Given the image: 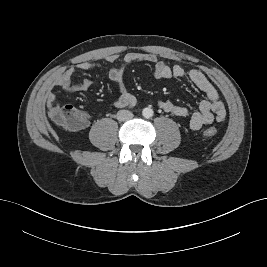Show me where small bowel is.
Masks as SVG:
<instances>
[{
  "mask_svg": "<svg viewBox=\"0 0 267 267\" xmlns=\"http://www.w3.org/2000/svg\"><path fill=\"white\" fill-rule=\"evenodd\" d=\"M101 60L111 64L108 74L110 79L113 80L118 87V96L114 101V107L116 108L133 107L137 102L135 96L128 92L125 85L124 76L127 66L136 62H148L154 66V76L156 79L187 78L207 97V99L200 102L197 111H191L186 106L178 105L168 100L158 101V106L160 109L174 117H189V126L192 130H199L203 126L212 124L215 121L222 122L226 117V109L218 91L206 78V76L197 69L185 71V69L180 65H167L155 54L136 51L128 52L123 56H119L117 54H108L102 57ZM118 61H120V65L115 64ZM99 66H101L100 61H85L77 64L76 68L81 71H88ZM75 70V68H69L59 74L55 78L53 86L67 92L87 91L90 89L92 81L88 78L79 83L73 82ZM46 101L48 106V114L50 118L54 119L57 112L60 110V107L56 102L55 95L51 91L47 92ZM76 111L83 119L81 128L87 127V114L80 110Z\"/></svg>",
  "mask_w": 267,
  "mask_h": 267,
  "instance_id": "small-bowel-1",
  "label": "small bowel"
}]
</instances>
